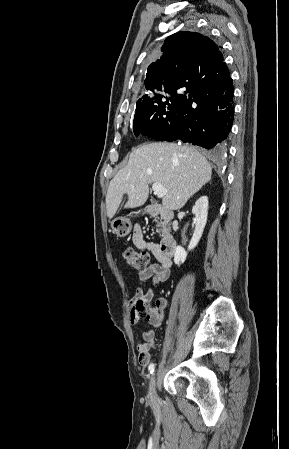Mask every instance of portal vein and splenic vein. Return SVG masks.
<instances>
[{
    "instance_id": "portal-vein-and-splenic-vein-1",
    "label": "portal vein and splenic vein",
    "mask_w": 289,
    "mask_h": 449,
    "mask_svg": "<svg viewBox=\"0 0 289 449\" xmlns=\"http://www.w3.org/2000/svg\"><path fill=\"white\" fill-rule=\"evenodd\" d=\"M152 190L158 198H163L167 193V189L161 183H154L152 185Z\"/></svg>"
}]
</instances>
